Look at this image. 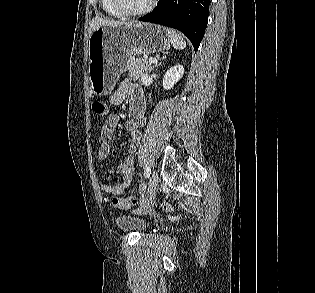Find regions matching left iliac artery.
Here are the masks:
<instances>
[{
  "instance_id": "left-iliac-artery-1",
  "label": "left iliac artery",
  "mask_w": 315,
  "mask_h": 293,
  "mask_svg": "<svg viewBox=\"0 0 315 293\" xmlns=\"http://www.w3.org/2000/svg\"><path fill=\"white\" fill-rule=\"evenodd\" d=\"M150 173H151L150 166L148 164H146V167H145V170H144L145 178H148L150 176Z\"/></svg>"
}]
</instances>
